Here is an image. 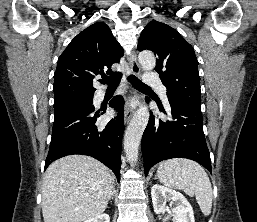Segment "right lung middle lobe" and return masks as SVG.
<instances>
[{
    "label": "right lung middle lobe",
    "mask_w": 257,
    "mask_h": 222,
    "mask_svg": "<svg viewBox=\"0 0 257 222\" xmlns=\"http://www.w3.org/2000/svg\"><path fill=\"white\" fill-rule=\"evenodd\" d=\"M94 110L93 97H83L54 103L55 118L74 111L88 112Z\"/></svg>",
    "instance_id": "right-lung-middle-lobe-1"
}]
</instances>
